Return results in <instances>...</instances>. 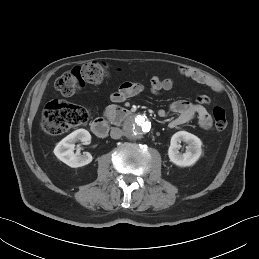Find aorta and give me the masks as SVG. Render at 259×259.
Returning a JSON list of instances; mask_svg holds the SVG:
<instances>
[{"mask_svg":"<svg viewBox=\"0 0 259 259\" xmlns=\"http://www.w3.org/2000/svg\"><path fill=\"white\" fill-rule=\"evenodd\" d=\"M151 129V123L144 116L131 118L126 124L127 135L131 138H140Z\"/></svg>","mask_w":259,"mask_h":259,"instance_id":"aorta-1","label":"aorta"}]
</instances>
